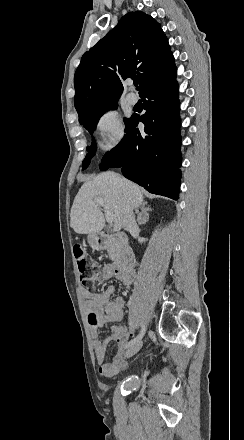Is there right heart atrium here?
Listing matches in <instances>:
<instances>
[{"label":"right heart atrium","mask_w":244,"mask_h":440,"mask_svg":"<svg viewBox=\"0 0 244 440\" xmlns=\"http://www.w3.org/2000/svg\"><path fill=\"white\" fill-rule=\"evenodd\" d=\"M96 129L104 148L110 149L117 145L123 136V129L118 113L108 110L96 119Z\"/></svg>","instance_id":"obj_1"}]
</instances>
